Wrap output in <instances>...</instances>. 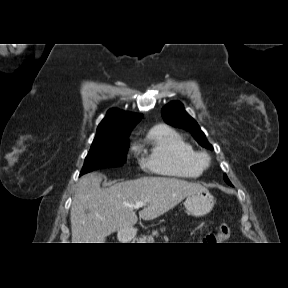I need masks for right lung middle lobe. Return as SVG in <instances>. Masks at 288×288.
I'll return each instance as SVG.
<instances>
[{
    "label": "right lung middle lobe",
    "instance_id": "1",
    "mask_svg": "<svg viewBox=\"0 0 288 288\" xmlns=\"http://www.w3.org/2000/svg\"><path fill=\"white\" fill-rule=\"evenodd\" d=\"M128 148V134L94 140L80 175L95 169L122 166L126 161Z\"/></svg>",
    "mask_w": 288,
    "mask_h": 288
}]
</instances>
